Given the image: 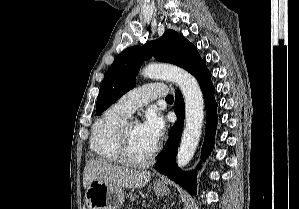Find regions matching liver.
<instances>
[{"label": "liver", "mask_w": 299, "mask_h": 209, "mask_svg": "<svg viewBox=\"0 0 299 209\" xmlns=\"http://www.w3.org/2000/svg\"><path fill=\"white\" fill-rule=\"evenodd\" d=\"M151 178V172L120 167L102 160L90 159L84 168L83 186L86 189L94 180H101L121 188H142Z\"/></svg>", "instance_id": "liver-1"}]
</instances>
